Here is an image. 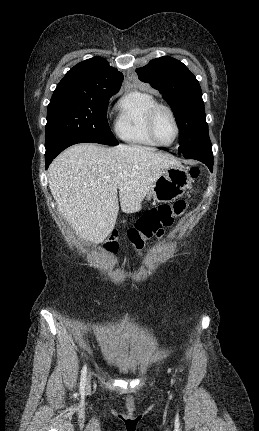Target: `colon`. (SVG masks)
<instances>
[{
    "instance_id": "colon-1",
    "label": "colon",
    "mask_w": 259,
    "mask_h": 431,
    "mask_svg": "<svg viewBox=\"0 0 259 431\" xmlns=\"http://www.w3.org/2000/svg\"><path fill=\"white\" fill-rule=\"evenodd\" d=\"M189 176L195 179L199 175V168L192 166L189 168ZM188 203L185 200H178L172 205L161 204L146 211L138 218L135 225L127 232L128 238L135 249L141 251L145 240L151 237H162L166 229L171 225L174 217H181L186 212ZM104 248L115 253L118 249V233L113 231L104 244Z\"/></svg>"
}]
</instances>
